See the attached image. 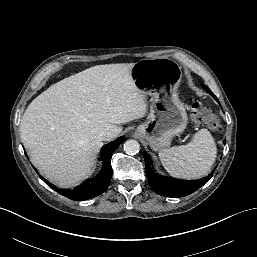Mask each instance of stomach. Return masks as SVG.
Masks as SVG:
<instances>
[{
    "label": "stomach",
    "mask_w": 257,
    "mask_h": 257,
    "mask_svg": "<svg viewBox=\"0 0 257 257\" xmlns=\"http://www.w3.org/2000/svg\"><path fill=\"white\" fill-rule=\"evenodd\" d=\"M130 72L142 93L151 96L147 121L137 127L136 134L154 151L167 149L187 126V113L178 96L181 67L168 58L143 59L134 63Z\"/></svg>",
    "instance_id": "obj_1"
}]
</instances>
